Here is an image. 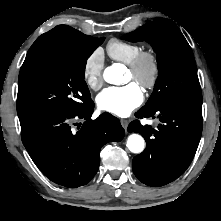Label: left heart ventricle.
<instances>
[{"label": "left heart ventricle", "instance_id": "left-heart-ventricle-1", "mask_svg": "<svg viewBox=\"0 0 221 221\" xmlns=\"http://www.w3.org/2000/svg\"><path fill=\"white\" fill-rule=\"evenodd\" d=\"M129 79H133V75L130 71H129Z\"/></svg>", "mask_w": 221, "mask_h": 221}]
</instances>
